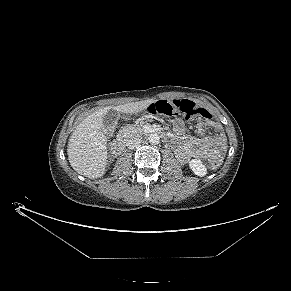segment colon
Instances as JSON below:
<instances>
[{
  "label": "colon",
  "instance_id": "obj_1",
  "mask_svg": "<svg viewBox=\"0 0 291 291\" xmlns=\"http://www.w3.org/2000/svg\"><path fill=\"white\" fill-rule=\"evenodd\" d=\"M147 110L152 115H180L186 119L197 117L209 127L213 122L208 110L190 100H160L150 104ZM221 164L220 160H213L209 162V167L217 169Z\"/></svg>",
  "mask_w": 291,
  "mask_h": 291
}]
</instances>
